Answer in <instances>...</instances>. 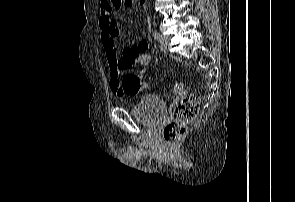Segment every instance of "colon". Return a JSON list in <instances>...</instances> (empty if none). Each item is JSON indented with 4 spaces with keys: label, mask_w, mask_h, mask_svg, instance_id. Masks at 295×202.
Instances as JSON below:
<instances>
[{
    "label": "colon",
    "mask_w": 295,
    "mask_h": 202,
    "mask_svg": "<svg viewBox=\"0 0 295 202\" xmlns=\"http://www.w3.org/2000/svg\"><path fill=\"white\" fill-rule=\"evenodd\" d=\"M111 2L117 8L122 6L130 7L133 4V0H111ZM150 61V52H140L139 65H142V68H149ZM138 75H150V70H138ZM121 89L125 93L132 94L135 90H150V83L143 82V79H138L134 74H126L122 79ZM174 91L181 93L183 85L176 83ZM199 105L200 97L197 94H190L176 103L173 118L167 122L163 129V139L165 142L175 144L184 137L188 124L197 115Z\"/></svg>",
    "instance_id": "1"
}]
</instances>
